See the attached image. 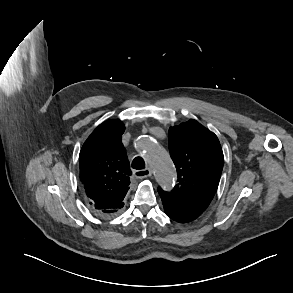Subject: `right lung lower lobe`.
Returning a JSON list of instances; mask_svg holds the SVG:
<instances>
[{"mask_svg":"<svg viewBox=\"0 0 293 293\" xmlns=\"http://www.w3.org/2000/svg\"><path fill=\"white\" fill-rule=\"evenodd\" d=\"M118 210H114V211H105V212H99L97 211V213L103 217H109L112 216L115 212H117Z\"/></svg>","mask_w":293,"mask_h":293,"instance_id":"right-lung-lower-lobe-1","label":"right lung lower lobe"}]
</instances>
